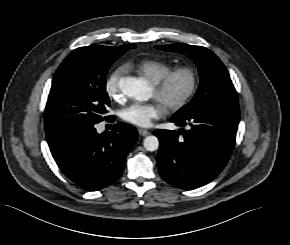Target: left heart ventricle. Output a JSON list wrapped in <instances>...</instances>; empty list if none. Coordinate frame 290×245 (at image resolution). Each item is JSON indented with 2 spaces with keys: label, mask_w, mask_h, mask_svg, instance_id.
Here are the masks:
<instances>
[{
  "label": "left heart ventricle",
  "mask_w": 290,
  "mask_h": 245,
  "mask_svg": "<svg viewBox=\"0 0 290 245\" xmlns=\"http://www.w3.org/2000/svg\"><path fill=\"white\" fill-rule=\"evenodd\" d=\"M187 85H188L187 76L186 75H179L172 81L167 92L164 95L159 96L157 98L163 104H165L167 101L174 100V99L180 97L184 93V91L186 90ZM153 95L155 96L154 90H153Z\"/></svg>",
  "instance_id": "left-heart-ventricle-1"
}]
</instances>
